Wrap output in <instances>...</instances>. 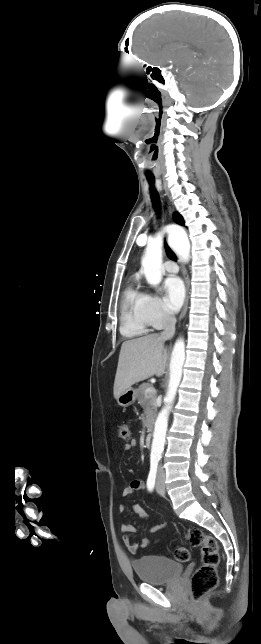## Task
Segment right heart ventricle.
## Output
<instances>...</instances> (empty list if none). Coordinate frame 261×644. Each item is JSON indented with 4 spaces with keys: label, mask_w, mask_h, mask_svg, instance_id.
<instances>
[{
    "label": "right heart ventricle",
    "mask_w": 261,
    "mask_h": 644,
    "mask_svg": "<svg viewBox=\"0 0 261 644\" xmlns=\"http://www.w3.org/2000/svg\"><path fill=\"white\" fill-rule=\"evenodd\" d=\"M151 324L145 307V294L130 285L123 294L121 306V333L137 337L149 332Z\"/></svg>",
    "instance_id": "obj_1"
}]
</instances>
